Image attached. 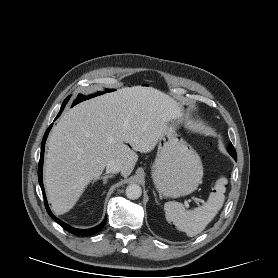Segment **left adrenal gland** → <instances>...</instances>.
I'll return each instance as SVG.
<instances>
[{
	"label": "left adrenal gland",
	"instance_id": "obj_1",
	"mask_svg": "<svg viewBox=\"0 0 278 278\" xmlns=\"http://www.w3.org/2000/svg\"><path fill=\"white\" fill-rule=\"evenodd\" d=\"M153 193H154V196H155V200L158 203L157 198H156V193L154 191H153Z\"/></svg>",
	"mask_w": 278,
	"mask_h": 278
}]
</instances>
